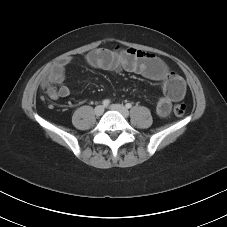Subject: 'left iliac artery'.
I'll use <instances>...</instances> for the list:
<instances>
[{
  "label": "left iliac artery",
  "instance_id": "left-iliac-artery-1",
  "mask_svg": "<svg viewBox=\"0 0 227 227\" xmlns=\"http://www.w3.org/2000/svg\"><path fill=\"white\" fill-rule=\"evenodd\" d=\"M125 106H126L127 109H129V108L132 107V104L131 103H127Z\"/></svg>",
  "mask_w": 227,
  "mask_h": 227
}]
</instances>
